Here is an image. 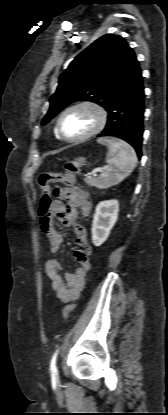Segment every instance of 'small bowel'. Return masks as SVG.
I'll list each match as a JSON object with an SVG mask.
<instances>
[{
    "mask_svg": "<svg viewBox=\"0 0 168 415\" xmlns=\"http://www.w3.org/2000/svg\"><path fill=\"white\" fill-rule=\"evenodd\" d=\"M53 196L58 200L53 202L55 208V218L57 223L73 226L78 249L75 257L79 262V267L75 273L64 271L62 263L58 259H50L46 262V274L51 280L52 289L57 297L63 302L76 300L85 284V277L90 269V256L93 248L88 239L87 230L75 223L78 211L83 216H88L92 206L87 194L77 186H58L53 189ZM62 201H67L65 206ZM41 228L49 239L50 252L57 253L60 250L63 238L54 228L53 222L45 227L41 222Z\"/></svg>",
    "mask_w": 168,
    "mask_h": 415,
    "instance_id": "small-bowel-1",
    "label": "small bowel"
}]
</instances>
